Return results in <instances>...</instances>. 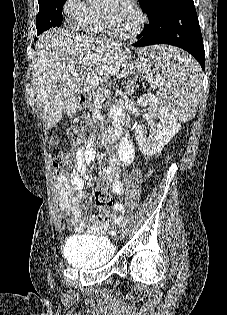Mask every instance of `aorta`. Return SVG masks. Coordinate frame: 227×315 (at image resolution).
Listing matches in <instances>:
<instances>
[{"mask_svg":"<svg viewBox=\"0 0 227 315\" xmlns=\"http://www.w3.org/2000/svg\"><path fill=\"white\" fill-rule=\"evenodd\" d=\"M106 0H86L90 5H98L104 3Z\"/></svg>","mask_w":227,"mask_h":315,"instance_id":"obj_1","label":"aorta"}]
</instances>
